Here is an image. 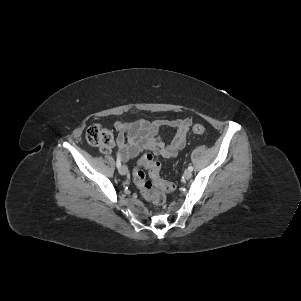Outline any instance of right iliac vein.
Segmentation results:
<instances>
[{
  "instance_id": "right-iliac-vein-1",
  "label": "right iliac vein",
  "mask_w": 301,
  "mask_h": 301,
  "mask_svg": "<svg viewBox=\"0 0 301 301\" xmlns=\"http://www.w3.org/2000/svg\"><path fill=\"white\" fill-rule=\"evenodd\" d=\"M119 173L121 175H126L128 173V168L125 166V165H122L120 168H119Z\"/></svg>"
}]
</instances>
